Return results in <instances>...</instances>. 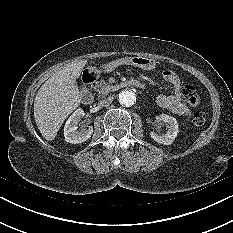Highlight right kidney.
Listing matches in <instances>:
<instances>
[{
    "label": "right kidney",
    "instance_id": "obj_1",
    "mask_svg": "<svg viewBox=\"0 0 233 233\" xmlns=\"http://www.w3.org/2000/svg\"><path fill=\"white\" fill-rule=\"evenodd\" d=\"M84 114V111L79 108L66 121V124L64 126V137L66 142L72 144L82 143L88 140L93 134L92 126L77 130V124L80 122Z\"/></svg>",
    "mask_w": 233,
    "mask_h": 233
}]
</instances>
